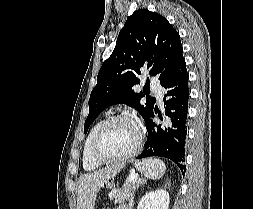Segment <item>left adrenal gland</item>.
Wrapping results in <instances>:
<instances>
[{
	"instance_id": "a2214340",
	"label": "left adrenal gland",
	"mask_w": 253,
	"mask_h": 209,
	"mask_svg": "<svg viewBox=\"0 0 253 209\" xmlns=\"http://www.w3.org/2000/svg\"><path fill=\"white\" fill-rule=\"evenodd\" d=\"M146 184V181L145 180H138L137 181V184H136V187L132 193V196L130 198V202H129V209H132L133 208V205H134V193L135 191L139 188L140 185H145Z\"/></svg>"
}]
</instances>
